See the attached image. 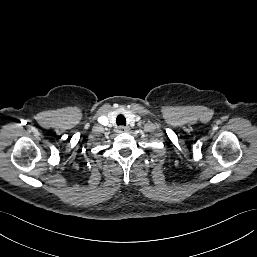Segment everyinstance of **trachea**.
Wrapping results in <instances>:
<instances>
[{
	"label": "trachea",
	"instance_id": "obj_1",
	"mask_svg": "<svg viewBox=\"0 0 257 257\" xmlns=\"http://www.w3.org/2000/svg\"><path fill=\"white\" fill-rule=\"evenodd\" d=\"M116 123H117V125L125 126L126 125V118L122 114H120L116 118Z\"/></svg>",
	"mask_w": 257,
	"mask_h": 257
}]
</instances>
